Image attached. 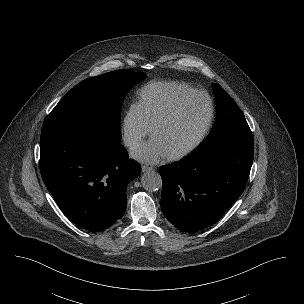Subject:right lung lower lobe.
Returning a JSON list of instances; mask_svg holds the SVG:
<instances>
[{"label": "right lung lower lobe", "mask_w": 304, "mask_h": 304, "mask_svg": "<svg viewBox=\"0 0 304 304\" xmlns=\"http://www.w3.org/2000/svg\"><path fill=\"white\" fill-rule=\"evenodd\" d=\"M40 171L64 214L88 231H103L126 209V187L140 175L126 149L89 130L41 134Z\"/></svg>", "instance_id": "1"}]
</instances>
